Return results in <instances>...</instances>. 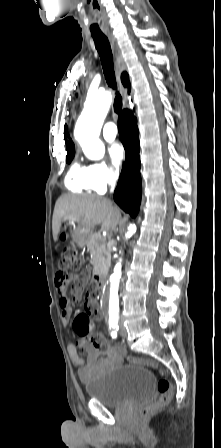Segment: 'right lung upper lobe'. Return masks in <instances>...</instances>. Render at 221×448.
<instances>
[{"label": "right lung upper lobe", "mask_w": 221, "mask_h": 448, "mask_svg": "<svg viewBox=\"0 0 221 448\" xmlns=\"http://www.w3.org/2000/svg\"><path fill=\"white\" fill-rule=\"evenodd\" d=\"M121 81H122L124 86H129V77H128V74L126 72L122 73ZM128 92H130V87L128 89ZM64 138L65 139L69 138V135L67 133V126H65ZM66 144H67V154L68 153H75V146H74L72 140L71 139L67 140Z\"/></svg>", "instance_id": "1"}]
</instances>
